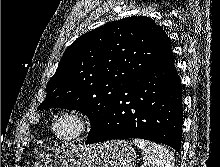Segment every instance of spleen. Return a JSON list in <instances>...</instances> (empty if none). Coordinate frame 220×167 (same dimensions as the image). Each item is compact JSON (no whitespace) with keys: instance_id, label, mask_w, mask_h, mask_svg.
<instances>
[{"instance_id":"1","label":"spleen","mask_w":220,"mask_h":167,"mask_svg":"<svg viewBox=\"0 0 220 167\" xmlns=\"http://www.w3.org/2000/svg\"><path fill=\"white\" fill-rule=\"evenodd\" d=\"M133 143L142 150L143 159L148 167H174V157L162 145L144 139H134Z\"/></svg>"}]
</instances>
